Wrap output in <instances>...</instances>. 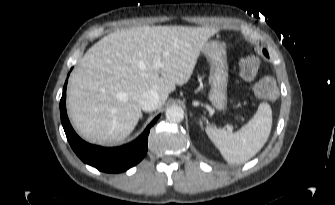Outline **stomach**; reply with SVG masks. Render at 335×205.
<instances>
[{"label": "stomach", "mask_w": 335, "mask_h": 205, "mask_svg": "<svg viewBox=\"0 0 335 205\" xmlns=\"http://www.w3.org/2000/svg\"><path fill=\"white\" fill-rule=\"evenodd\" d=\"M203 54L210 63V91L208 99L217 110H223L227 104L228 64L224 43L211 40L206 42Z\"/></svg>", "instance_id": "obj_1"}]
</instances>
